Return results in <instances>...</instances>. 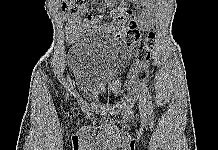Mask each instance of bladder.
I'll use <instances>...</instances> for the list:
<instances>
[{"instance_id": "1", "label": "bladder", "mask_w": 218, "mask_h": 150, "mask_svg": "<svg viewBox=\"0 0 218 150\" xmlns=\"http://www.w3.org/2000/svg\"><path fill=\"white\" fill-rule=\"evenodd\" d=\"M81 63L76 73L83 94L97 101H107L115 95L104 85L103 77L92 60L99 65H113L118 59L116 43L110 37L100 34L86 38L78 49Z\"/></svg>"}]
</instances>
